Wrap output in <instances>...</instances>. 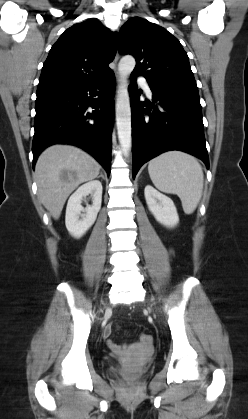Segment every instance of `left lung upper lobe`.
Listing matches in <instances>:
<instances>
[{
	"instance_id": "5c2ea615",
	"label": "left lung upper lobe",
	"mask_w": 248,
	"mask_h": 419,
	"mask_svg": "<svg viewBox=\"0 0 248 419\" xmlns=\"http://www.w3.org/2000/svg\"><path fill=\"white\" fill-rule=\"evenodd\" d=\"M120 54L136 59L134 75L144 76L149 85L172 93H198L187 53L166 29L139 17L128 20L118 35Z\"/></svg>"
}]
</instances>
